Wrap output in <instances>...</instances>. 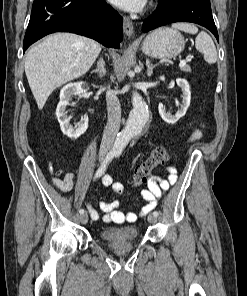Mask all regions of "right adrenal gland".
I'll return each instance as SVG.
<instances>
[{"label": "right adrenal gland", "mask_w": 247, "mask_h": 296, "mask_svg": "<svg viewBox=\"0 0 247 296\" xmlns=\"http://www.w3.org/2000/svg\"><path fill=\"white\" fill-rule=\"evenodd\" d=\"M91 73H98L100 78L105 76L106 68H105V62L102 59V57H100L99 61L97 62V68L93 70Z\"/></svg>", "instance_id": "1"}]
</instances>
